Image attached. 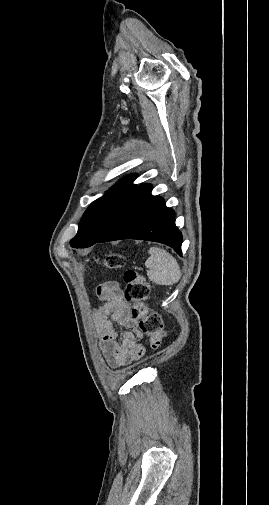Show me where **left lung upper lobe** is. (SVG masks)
Returning <instances> with one entry per match:
<instances>
[{"label": "left lung upper lobe", "mask_w": 269, "mask_h": 505, "mask_svg": "<svg viewBox=\"0 0 269 505\" xmlns=\"http://www.w3.org/2000/svg\"><path fill=\"white\" fill-rule=\"evenodd\" d=\"M135 176L130 175L114 185L101 198L92 202L83 214L71 247L84 248L95 244L110 229L122 209L133 196L137 185L132 184Z\"/></svg>", "instance_id": "5c2ea615"}]
</instances>
